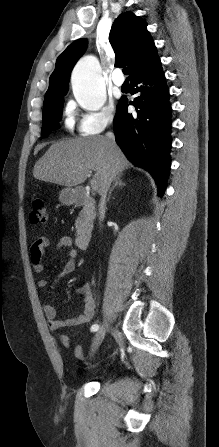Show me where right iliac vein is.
I'll list each match as a JSON object with an SVG mask.
<instances>
[{
	"instance_id": "right-iliac-vein-1",
	"label": "right iliac vein",
	"mask_w": 219,
	"mask_h": 447,
	"mask_svg": "<svg viewBox=\"0 0 219 447\" xmlns=\"http://www.w3.org/2000/svg\"><path fill=\"white\" fill-rule=\"evenodd\" d=\"M106 331H107V324L104 323L93 337L90 355H93L94 352L98 349V347L100 346L105 337Z\"/></svg>"
}]
</instances>
